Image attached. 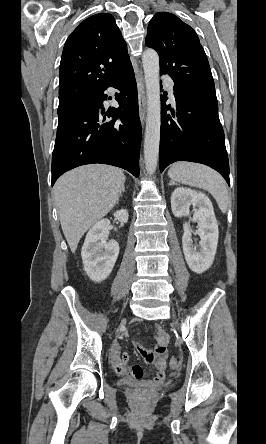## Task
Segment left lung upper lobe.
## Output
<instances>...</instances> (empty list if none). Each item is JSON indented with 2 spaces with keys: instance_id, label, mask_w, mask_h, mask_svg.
Masks as SVG:
<instances>
[{
  "instance_id": "left-lung-upper-lobe-1",
  "label": "left lung upper lobe",
  "mask_w": 266,
  "mask_h": 444,
  "mask_svg": "<svg viewBox=\"0 0 266 444\" xmlns=\"http://www.w3.org/2000/svg\"><path fill=\"white\" fill-rule=\"evenodd\" d=\"M146 45L160 57V71L175 84L211 86L214 81L208 59L196 32L177 16L160 12L150 20Z\"/></svg>"
}]
</instances>
